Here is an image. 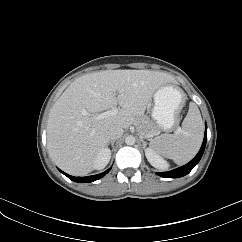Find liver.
Instances as JSON below:
<instances>
[{"label":"liver","mask_w":242,"mask_h":242,"mask_svg":"<svg viewBox=\"0 0 242 242\" xmlns=\"http://www.w3.org/2000/svg\"><path fill=\"white\" fill-rule=\"evenodd\" d=\"M166 83L176 80L150 70H105L77 78L49 113L47 146L53 161L74 176L91 172L97 153L110 141L109 128L137 123ZM117 105L121 109L115 116L95 118Z\"/></svg>","instance_id":"6515ba94"}]
</instances>
